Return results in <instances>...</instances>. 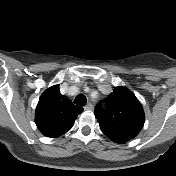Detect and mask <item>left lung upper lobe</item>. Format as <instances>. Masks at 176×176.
<instances>
[{"label": "left lung upper lobe", "mask_w": 176, "mask_h": 176, "mask_svg": "<svg viewBox=\"0 0 176 176\" xmlns=\"http://www.w3.org/2000/svg\"><path fill=\"white\" fill-rule=\"evenodd\" d=\"M106 109L96 107L102 132L113 142L124 144L143 128L145 115L136 96L125 87H115L106 100Z\"/></svg>", "instance_id": "left-lung-upper-lobe-1"}]
</instances>
